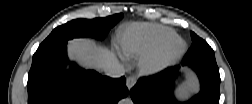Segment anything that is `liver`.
I'll return each instance as SVG.
<instances>
[{
	"mask_svg": "<svg viewBox=\"0 0 252 104\" xmlns=\"http://www.w3.org/2000/svg\"><path fill=\"white\" fill-rule=\"evenodd\" d=\"M68 52L72 60L87 68L103 69L105 66L117 62L112 51L97 46L91 40L74 39L70 41Z\"/></svg>",
	"mask_w": 252,
	"mask_h": 104,
	"instance_id": "liver-1",
	"label": "liver"
}]
</instances>
